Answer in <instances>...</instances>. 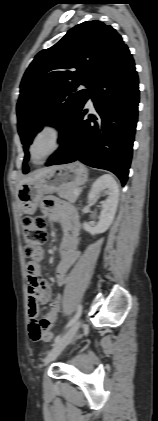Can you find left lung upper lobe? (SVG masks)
Returning <instances> with one entry per match:
<instances>
[{
  "label": "left lung upper lobe",
  "instance_id": "obj_1",
  "mask_svg": "<svg viewBox=\"0 0 158 421\" xmlns=\"http://www.w3.org/2000/svg\"><path fill=\"white\" fill-rule=\"evenodd\" d=\"M125 45L110 25L98 20L70 29L51 48L39 52L20 85L18 132L24 145L23 172H28L27 147L44 125L63 132L81 108L89 87ZM86 84L87 89L79 86Z\"/></svg>",
  "mask_w": 158,
  "mask_h": 421
}]
</instances>
